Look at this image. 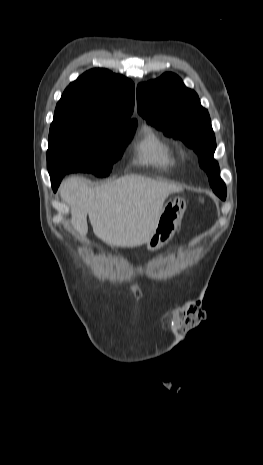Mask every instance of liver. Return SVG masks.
<instances>
[{
	"label": "liver",
	"instance_id": "obj_1",
	"mask_svg": "<svg viewBox=\"0 0 263 465\" xmlns=\"http://www.w3.org/2000/svg\"><path fill=\"white\" fill-rule=\"evenodd\" d=\"M183 188L140 175H126L91 188L79 177L66 179L60 195L71 207V224L81 237L88 232L112 247L133 248L148 242L166 198Z\"/></svg>",
	"mask_w": 263,
	"mask_h": 465
}]
</instances>
